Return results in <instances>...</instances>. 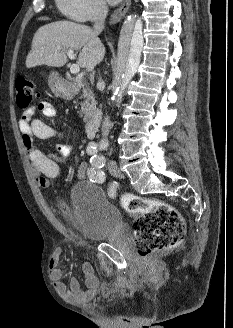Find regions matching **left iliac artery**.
I'll list each match as a JSON object with an SVG mask.
<instances>
[{
    "label": "left iliac artery",
    "instance_id": "44dca946",
    "mask_svg": "<svg viewBox=\"0 0 233 328\" xmlns=\"http://www.w3.org/2000/svg\"><path fill=\"white\" fill-rule=\"evenodd\" d=\"M91 167L88 169L90 181L103 183L105 181V173L102 168L105 165V158L102 155H93L90 159Z\"/></svg>",
    "mask_w": 233,
    "mask_h": 328
}]
</instances>
